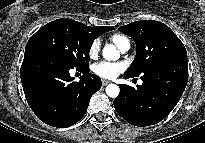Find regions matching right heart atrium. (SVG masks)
Listing matches in <instances>:
<instances>
[{
	"mask_svg": "<svg viewBox=\"0 0 205 143\" xmlns=\"http://www.w3.org/2000/svg\"><path fill=\"white\" fill-rule=\"evenodd\" d=\"M101 43L99 39H95L92 41V43L89 46V56L90 57H96L100 51Z\"/></svg>",
	"mask_w": 205,
	"mask_h": 143,
	"instance_id": "obj_1",
	"label": "right heart atrium"
}]
</instances>
